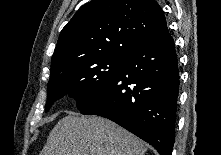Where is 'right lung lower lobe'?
<instances>
[{"label": "right lung lower lobe", "instance_id": "98d812e1", "mask_svg": "<svg viewBox=\"0 0 221 155\" xmlns=\"http://www.w3.org/2000/svg\"><path fill=\"white\" fill-rule=\"evenodd\" d=\"M178 88L177 54L166 29L139 41L110 83L80 112L108 118L160 155H171Z\"/></svg>", "mask_w": 221, "mask_h": 155}]
</instances>
